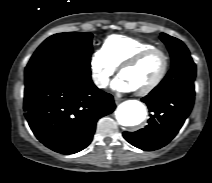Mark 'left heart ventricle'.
I'll list each match as a JSON object with an SVG mask.
<instances>
[{"label": "left heart ventricle", "instance_id": "obj_1", "mask_svg": "<svg viewBox=\"0 0 212 183\" xmlns=\"http://www.w3.org/2000/svg\"><path fill=\"white\" fill-rule=\"evenodd\" d=\"M162 66V55L160 53H153L135 67L123 71L121 75L134 90L141 89L156 79Z\"/></svg>", "mask_w": 212, "mask_h": 183}]
</instances>
